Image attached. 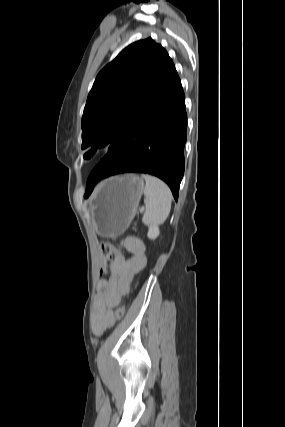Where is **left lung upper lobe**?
Here are the masks:
<instances>
[{
	"mask_svg": "<svg viewBox=\"0 0 285 427\" xmlns=\"http://www.w3.org/2000/svg\"><path fill=\"white\" fill-rule=\"evenodd\" d=\"M172 63L151 38L134 42L97 75L82 116V149L115 148Z\"/></svg>",
	"mask_w": 285,
	"mask_h": 427,
	"instance_id": "1",
	"label": "left lung upper lobe"
}]
</instances>
